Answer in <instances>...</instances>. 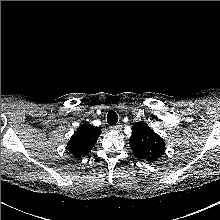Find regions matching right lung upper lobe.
<instances>
[{"mask_svg":"<svg viewBox=\"0 0 220 220\" xmlns=\"http://www.w3.org/2000/svg\"><path fill=\"white\" fill-rule=\"evenodd\" d=\"M100 134V128L87 123L82 124L71 136L66 149L76 158L87 155L96 143Z\"/></svg>","mask_w":220,"mask_h":220,"instance_id":"right-lung-upper-lobe-1","label":"right lung upper lobe"}]
</instances>
